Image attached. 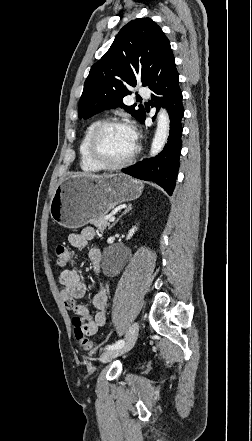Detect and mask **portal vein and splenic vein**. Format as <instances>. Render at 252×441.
Listing matches in <instances>:
<instances>
[{
    "label": "portal vein and splenic vein",
    "instance_id": "obj_1",
    "mask_svg": "<svg viewBox=\"0 0 252 441\" xmlns=\"http://www.w3.org/2000/svg\"><path fill=\"white\" fill-rule=\"evenodd\" d=\"M110 222H113L114 220H115V217H110L109 219H108Z\"/></svg>",
    "mask_w": 252,
    "mask_h": 441
}]
</instances>
